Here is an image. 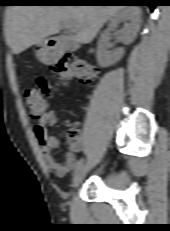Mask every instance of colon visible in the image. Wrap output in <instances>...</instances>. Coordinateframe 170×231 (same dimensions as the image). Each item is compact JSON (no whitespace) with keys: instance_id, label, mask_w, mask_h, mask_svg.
Wrapping results in <instances>:
<instances>
[{"instance_id":"obj_1","label":"colon","mask_w":170,"mask_h":231,"mask_svg":"<svg viewBox=\"0 0 170 231\" xmlns=\"http://www.w3.org/2000/svg\"><path fill=\"white\" fill-rule=\"evenodd\" d=\"M52 71L62 81L77 78L83 84L90 85L99 78V70L89 63L85 58L66 55L52 67ZM25 99L29 108V113L34 118H39L47 111V103L44 95L35 88L25 90ZM80 136L78 128L72 127L68 131L70 142L75 141Z\"/></svg>"}]
</instances>
